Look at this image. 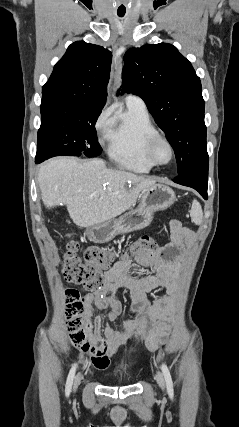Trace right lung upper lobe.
<instances>
[{
	"label": "right lung upper lobe",
	"instance_id": "1",
	"mask_svg": "<svg viewBox=\"0 0 239 427\" xmlns=\"http://www.w3.org/2000/svg\"><path fill=\"white\" fill-rule=\"evenodd\" d=\"M112 53L101 46L77 41L54 66L42 88V101L104 107Z\"/></svg>",
	"mask_w": 239,
	"mask_h": 427
}]
</instances>
